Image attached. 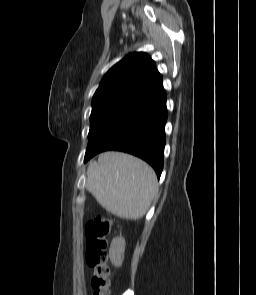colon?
I'll use <instances>...</instances> for the list:
<instances>
[{"label":"colon","mask_w":256,"mask_h":295,"mask_svg":"<svg viewBox=\"0 0 256 295\" xmlns=\"http://www.w3.org/2000/svg\"><path fill=\"white\" fill-rule=\"evenodd\" d=\"M113 219L97 215L85 226L86 262L93 268V295H110L109 242Z\"/></svg>","instance_id":"5ec220e1"}]
</instances>
